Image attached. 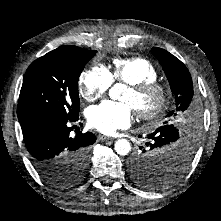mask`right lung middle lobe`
<instances>
[{
	"mask_svg": "<svg viewBox=\"0 0 221 221\" xmlns=\"http://www.w3.org/2000/svg\"><path fill=\"white\" fill-rule=\"evenodd\" d=\"M95 50L54 52L35 60L27 69L20 91L17 116L52 112L63 116L79 113L78 78ZM90 146L66 154L63 162L50 166L41 175L52 185L69 187L83 180Z\"/></svg>",
	"mask_w": 221,
	"mask_h": 221,
	"instance_id": "right-lung-middle-lobe-1",
	"label": "right lung middle lobe"
}]
</instances>
